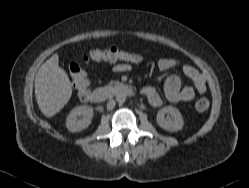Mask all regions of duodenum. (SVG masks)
<instances>
[{
	"mask_svg": "<svg viewBox=\"0 0 249 188\" xmlns=\"http://www.w3.org/2000/svg\"><path fill=\"white\" fill-rule=\"evenodd\" d=\"M133 93V89L130 86L126 84H116L94 89L88 93L87 100L93 103H101L113 96L132 95Z\"/></svg>",
	"mask_w": 249,
	"mask_h": 188,
	"instance_id": "410a0bca",
	"label": "duodenum"
}]
</instances>
